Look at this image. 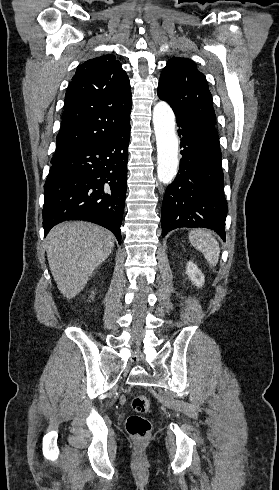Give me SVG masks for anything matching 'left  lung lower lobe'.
Returning a JSON list of instances; mask_svg holds the SVG:
<instances>
[{
	"label": "left lung lower lobe",
	"instance_id": "0a47b994",
	"mask_svg": "<svg viewBox=\"0 0 279 490\" xmlns=\"http://www.w3.org/2000/svg\"><path fill=\"white\" fill-rule=\"evenodd\" d=\"M182 158L162 203V237L180 227H205L225 241L228 213L224 197L219 137L214 125L176 115Z\"/></svg>",
	"mask_w": 279,
	"mask_h": 490
}]
</instances>
